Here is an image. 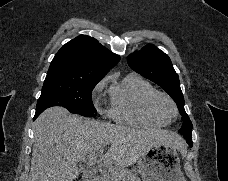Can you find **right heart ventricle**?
I'll list each match as a JSON object with an SVG mask.
<instances>
[{
  "label": "right heart ventricle",
  "mask_w": 228,
  "mask_h": 181,
  "mask_svg": "<svg viewBox=\"0 0 228 181\" xmlns=\"http://www.w3.org/2000/svg\"><path fill=\"white\" fill-rule=\"evenodd\" d=\"M108 84L111 96L110 114L117 122L150 127L165 124L166 117L155 116L148 109V102L158 92L141 76L112 72L104 78L101 86Z\"/></svg>",
  "instance_id": "1"
}]
</instances>
